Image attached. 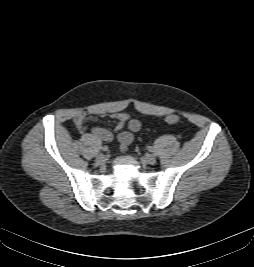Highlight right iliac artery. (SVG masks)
Segmentation results:
<instances>
[{"mask_svg":"<svg viewBox=\"0 0 254 267\" xmlns=\"http://www.w3.org/2000/svg\"><path fill=\"white\" fill-rule=\"evenodd\" d=\"M101 149H102L103 151H108V150H109L108 146H103V147H101Z\"/></svg>","mask_w":254,"mask_h":267,"instance_id":"82829eb1","label":"right iliac artery"}]
</instances>
